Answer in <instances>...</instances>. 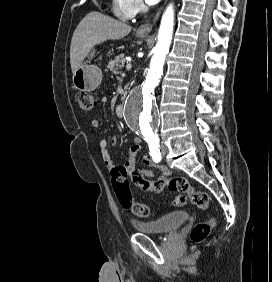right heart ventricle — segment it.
Masks as SVG:
<instances>
[{"label": "right heart ventricle", "mask_w": 272, "mask_h": 282, "mask_svg": "<svg viewBox=\"0 0 272 282\" xmlns=\"http://www.w3.org/2000/svg\"><path fill=\"white\" fill-rule=\"evenodd\" d=\"M124 1L125 0H114V13L120 19L127 20L129 16L124 13Z\"/></svg>", "instance_id": "obj_1"}]
</instances>
